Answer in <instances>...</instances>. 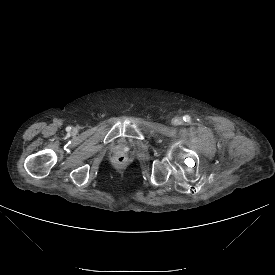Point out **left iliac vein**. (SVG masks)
Masks as SVG:
<instances>
[{
  "mask_svg": "<svg viewBox=\"0 0 275 275\" xmlns=\"http://www.w3.org/2000/svg\"><path fill=\"white\" fill-rule=\"evenodd\" d=\"M183 122L182 118L181 117H176L174 120H173V123L175 125H179Z\"/></svg>",
  "mask_w": 275,
  "mask_h": 275,
  "instance_id": "1",
  "label": "left iliac vein"
}]
</instances>
